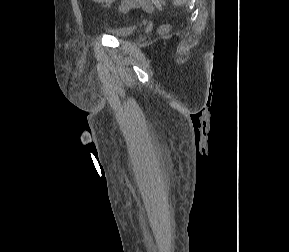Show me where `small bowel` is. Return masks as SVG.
I'll use <instances>...</instances> for the list:
<instances>
[{
  "label": "small bowel",
  "instance_id": "1",
  "mask_svg": "<svg viewBox=\"0 0 289 252\" xmlns=\"http://www.w3.org/2000/svg\"><path fill=\"white\" fill-rule=\"evenodd\" d=\"M95 3L103 4V5H111L115 0H93Z\"/></svg>",
  "mask_w": 289,
  "mask_h": 252
}]
</instances>
